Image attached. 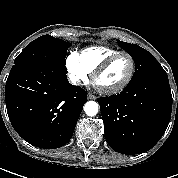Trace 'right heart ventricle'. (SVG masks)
Listing matches in <instances>:
<instances>
[{
	"label": "right heart ventricle",
	"instance_id": "obj_1",
	"mask_svg": "<svg viewBox=\"0 0 178 178\" xmlns=\"http://www.w3.org/2000/svg\"><path fill=\"white\" fill-rule=\"evenodd\" d=\"M119 52L121 51L110 47L91 46L84 48L77 55L85 70L92 73L106 58Z\"/></svg>",
	"mask_w": 178,
	"mask_h": 178
}]
</instances>
